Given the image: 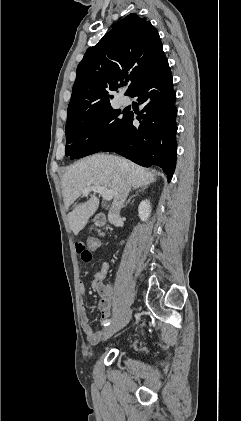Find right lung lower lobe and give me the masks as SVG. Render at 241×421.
<instances>
[{"mask_svg":"<svg viewBox=\"0 0 241 421\" xmlns=\"http://www.w3.org/2000/svg\"><path fill=\"white\" fill-rule=\"evenodd\" d=\"M144 104L137 116L140 126L133 125L129 113L126 127L121 134L101 151H113L133 162L150 167L159 166L170 181L176 164V93L166 57L135 88L130 95Z\"/></svg>","mask_w":241,"mask_h":421,"instance_id":"98d812e1","label":"right lung lower lobe"}]
</instances>
